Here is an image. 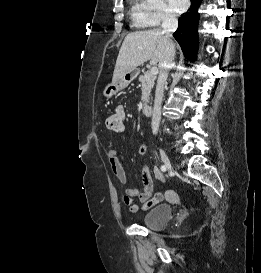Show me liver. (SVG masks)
Returning a JSON list of instances; mask_svg holds the SVG:
<instances>
[{"label": "liver", "instance_id": "obj_1", "mask_svg": "<svg viewBox=\"0 0 261 273\" xmlns=\"http://www.w3.org/2000/svg\"><path fill=\"white\" fill-rule=\"evenodd\" d=\"M166 34L162 29H151L128 34L120 48L112 83L146 61L160 64L166 51Z\"/></svg>", "mask_w": 261, "mask_h": 273}]
</instances>
